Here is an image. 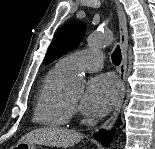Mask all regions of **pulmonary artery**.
Segmentation results:
<instances>
[{
    "instance_id": "pulmonary-artery-1",
    "label": "pulmonary artery",
    "mask_w": 155,
    "mask_h": 149,
    "mask_svg": "<svg viewBox=\"0 0 155 149\" xmlns=\"http://www.w3.org/2000/svg\"><path fill=\"white\" fill-rule=\"evenodd\" d=\"M104 63V57L98 50H82L61 58L57 65L72 75L78 72H92L99 70Z\"/></svg>"
}]
</instances>
